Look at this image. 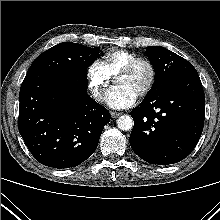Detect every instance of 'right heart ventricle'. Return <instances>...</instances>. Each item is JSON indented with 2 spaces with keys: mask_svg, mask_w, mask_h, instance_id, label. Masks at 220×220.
<instances>
[{
  "mask_svg": "<svg viewBox=\"0 0 220 220\" xmlns=\"http://www.w3.org/2000/svg\"><path fill=\"white\" fill-rule=\"evenodd\" d=\"M137 58L135 53L127 50L117 49L107 52L104 56V62L111 75H116L131 60Z\"/></svg>",
  "mask_w": 220,
  "mask_h": 220,
  "instance_id": "right-heart-ventricle-1",
  "label": "right heart ventricle"
}]
</instances>
